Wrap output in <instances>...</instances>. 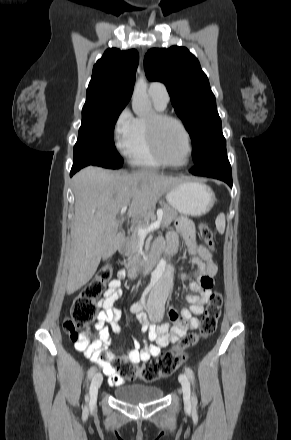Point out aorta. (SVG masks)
<instances>
[{"instance_id":"obj_1","label":"aorta","mask_w":291,"mask_h":440,"mask_svg":"<svg viewBox=\"0 0 291 440\" xmlns=\"http://www.w3.org/2000/svg\"><path fill=\"white\" fill-rule=\"evenodd\" d=\"M132 109L135 114L144 116L150 113L152 106L147 95V83L143 75L137 80L132 97ZM172 273L168 269L153 278L148 303L164 302L172 286Z\"/></svg>"}]
</instances>
